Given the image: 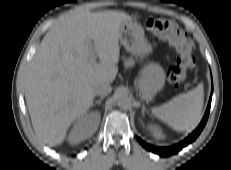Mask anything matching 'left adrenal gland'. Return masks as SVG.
I'll list each match as a JSON object with an SVG mask.
<instances>
[{
	"mask_svg": "<svg viewBox=\"0 0 231 170\" xmlns=\"http://www.w3.org/2000/svg\"><path fill=\"white\" fill-rule=\"evenodd\" d=\"M145 112L148 113V111L146 110L145 105L143 104V105H142V115H145Z\"/></svg>",
	"mask_w": 231,
	"mask_h": 170,
	"instance_id": "a2214340",
	"label": "left adrenal gland"
}]
</instances>
